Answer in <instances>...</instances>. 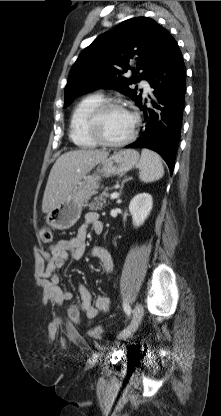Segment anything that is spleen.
Returning a JSON list of instances; mask_svg holds the SVG:
<instances>
[{"mask_svg": "<svg viewBox=\"0 0 221 416\" xmlns=\"http://www.w3.org/2000/svg\"><path fill=\"white\" fill-rule=\"evenodd\" d=\"M139 178L145 183L159 180L164 175V167L160 156L149 149H142L138 164Z\"/></svg>", "mask_w": 221, "mask_h": 416, "instance_id": "1", "label": "spleen"}]
</instances>
